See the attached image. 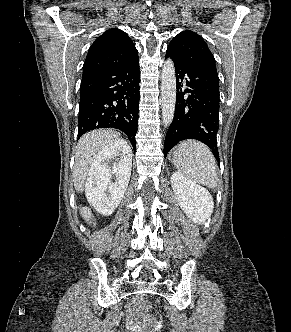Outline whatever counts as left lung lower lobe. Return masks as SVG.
Instances as JSON below:
<instances>
[{
  "instance_id": "0a47b994",
  "label": "left lung lower lobe",
  "mask_w": 291,
  "mask_h": 332,
  "mask_svg": "<svg viewBox=\"0 0 291 332\" xmlns=\"http://www.w3.org/2000/svg\"><path fill=\"white\" fill-rule=\"evenodd\" d=\"M166 57L172 59L177 80L176 106L173 121L164 144V156L179 141L196 139L206 144L219 162L217 132L219 128V78L215 62L186 61L170 49ZM185 86L186 89L181 91Z\"/></svg>"
}]
</instances>
